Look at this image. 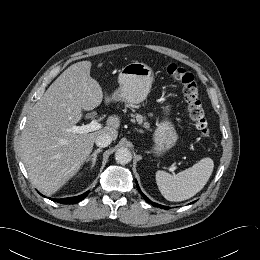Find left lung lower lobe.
<instances>
[{
	"label": "left lung lower lobe",
	"mask_w": 260,
	"mask_h": 260,
	"mask_svg": "<svg viewBox=\"0 0 260 260\" xmlns=\"http://www.w3.org/2000/svg\"><path fill=\"white\" fill-rule=\"evenodd\" d=\"M136 184H137V182H136ZM137 189L139 190V192L141 193V195L144 197V199H145L146 202L151 203L154 207L159 206V207H161V208L168 209V207H166V206L158 205V204H156V203H153L151 200H149V199L141 192V190L139 189L138 184H137Z\"/></svg>",
	"instance_id": "0a47b994"
}]
</instances>
